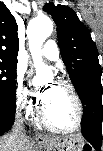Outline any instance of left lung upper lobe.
<instances>
[{"label":"left lung upper lobe","instance_id":"5c2ea615","mask_svg":"<svg viewBox=\"0 0 103 151\" xmlns=\"http://www.w3.org/2000/svg\"><path fill=\"white\" fill-rule=\"evenodd\" d=\"M43 10L57 25L61 56L75 89L89 73L101 72L98 51L88 28L78 19L75 11L64 5L45 4Z\"/></svg>","mask_w":103,"mask_h":151}]
</instances>
